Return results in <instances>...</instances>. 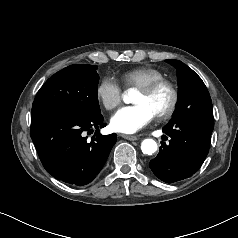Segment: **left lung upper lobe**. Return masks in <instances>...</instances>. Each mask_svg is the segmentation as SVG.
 Masks as SVG:
<instances>
[{"label":"left lung upper lobe","mask_w":238,"mask_h":238,"mask_svg":"<svg viewBox=\"0 0 238 238\" xmlns=\"http://www.w3.org/2000/svg\"><path fill=\"white\" fill-rule=\"evenodd\" d=\"M177 69L178 104L169 122L214 126L212 101L202 79L179 60H165Z\"/></svg>","instance_id":"left-lung-upper-lobe-1"}]
</instances>
